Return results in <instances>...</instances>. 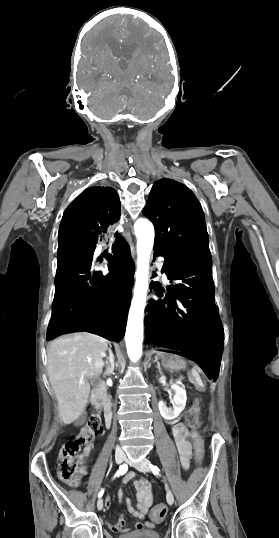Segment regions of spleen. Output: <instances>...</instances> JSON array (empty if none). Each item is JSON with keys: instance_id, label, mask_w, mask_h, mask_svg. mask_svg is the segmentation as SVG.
<instances>
[{"instance_id": "3e777b00", "label": "spleen", "mask_w": 279, "mask_h": 538, "mask_svg": "<svg viewBox=\"0 0 279 538\" xmlns=\"http://www.w3.org/2000/svg\"><path fill=\"white\" fill-rule=\"evenodd\" d=\"M192 376H194V380H197V384H199V386H202V379H199V375H197V371L192 370Z\"/></svg>"}]
</instances>
